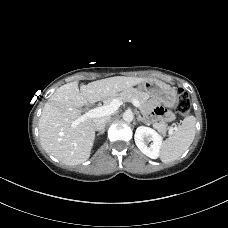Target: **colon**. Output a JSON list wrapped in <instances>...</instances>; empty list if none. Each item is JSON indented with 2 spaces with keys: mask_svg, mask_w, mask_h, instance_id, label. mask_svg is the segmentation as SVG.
I'll return each mask as SVG.
<instances>
[{
  "mask_svg": "<svg viewBox=\"0 0 228 228\" xmlns=\"http://www.w3.org/2000/svg\"><path fill=\"white\" fill-rule=\"evenodd\" d=\"M177 95H178V101L176 105V112L180 116L185 117L188 115L190 111V105H191L190 97L188 93L182 88L177 89ZM172 119H173L172 115L167 114L166 120H172Z\"/></svg>",
  "mask_w": 228,
  "mask_h": 228,
  "instance_id": "colon-1",
  "label": "colon"
}]
</instances>
